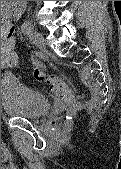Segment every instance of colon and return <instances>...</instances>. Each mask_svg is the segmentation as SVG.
Instances as JSON below:
<instances>
[{
	"label": "colon",
	"mask_w": 121,
	"mask_h": 169,
	"mask_svg": "<svg viewBox=\"0 0 121 169\" xmlns=\"http://www.w3.org/2000/svg\"><path fill=\"white\" fill-rule=\"evenodd\" d=\"M15 44L5 41L1 44V61L5 67H12L17 63V54L15 52ZM34 76L38 81H44L49 91L54 94L61 102L68 104L71 109L79 108L80 104L75 100L74 91L59 76L44 74L40 69L34 70Z\"/></svg>",
	"instance_id": "colon-1"
}]
</instances>
